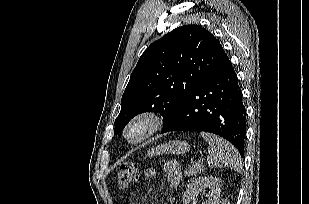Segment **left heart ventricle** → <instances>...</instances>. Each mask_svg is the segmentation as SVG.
<instances>
[{
    "mask_svg": "<svg viewBox=\"0 0 309 204\" xmlns=\"http://www.w3.org/2000/svg\"><path fill=\"white\" fill-rule=\"evenodd\" d=\"M145 129L146 125L144 124L134 126L130 131V137L133 139L140 137L144 133Z\"/></svg>",
    "mask_w": 309,
    "mask_h": 204,
    "instance_id": "1",
    "label": "left heart ventricle"
}]
</instances>
